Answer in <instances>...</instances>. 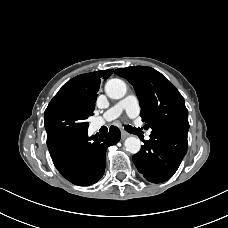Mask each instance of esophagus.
Here are the masks:
<instances>
[{
	"label": "esophagus",
	"mask_w": 228,
	"mask_h": 228,
	"mask_svg": "<svg viewBox=\"0 0 228 228\" xmlns=\"http://www.w3.org/2000/svg\"><path fill=\"white\" fill-rule=\"evenodd\" d=\"M128 136H129V134H128L126 131H124V130L121 131V138H122V139H125V138H127Z\"/></svg>",
	"instance_id": "34e87169"
}]
</instances>
